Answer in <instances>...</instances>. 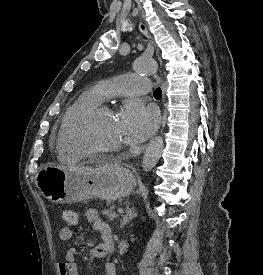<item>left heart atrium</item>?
I'll list each match as a JSON object with an SVG mask.
<instances>
[{
	"mask_svg": "<svg viewBox=\"0 0 263 275\" xmlns=\"http://www.w3.org/2000/svg\"><path fill=\"white\" fill-rule=\"evenodd\" d=\"M118 118L127 142L133 145L146 140L157 125L156 112L139 101L129 102Z\"/></svg>",
	"mask_w": 263,
	"mask_h": 275,
	"instance_id": "obj_1",
	"label": "left heart atrium"
}]
</instances>
